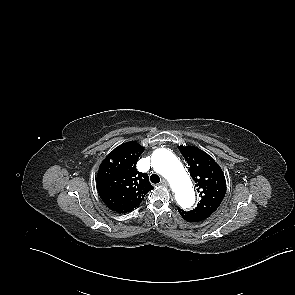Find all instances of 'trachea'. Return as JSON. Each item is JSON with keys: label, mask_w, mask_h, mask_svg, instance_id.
I'll return each mask as SVG.
<instances>
[{"label": "trachea", "mask_w": 295, "mask_h": 295, "mask_svg": "<svg viewBox=\"0 0 295 295\" xmlns=\"http://www.w3.org/2000/svg\"><path fill=\"white\" fill-rule=\"evenodd\" d=\"M150 180L152 183H159L160 182V177L156 174H152L150 177Z\"/></svg>", "instance_id": "trachea-1"}]
</instances>
